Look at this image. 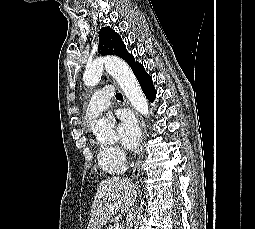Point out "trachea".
<instances>
[{"instance_id":"trachea-1","label":"trachea","mask_w":255,"mask_h":229,"mask_svg":"<svg viewBox=\"0 0 255 229\" xmlns=\"http://www.w3.org/2000/svg\"><path fill=\"white\" fill-rule=\"evenodd\" d=\"M122 98H123V96L121 93H116V99H122Z\"/></svg>"}]
</instances>
